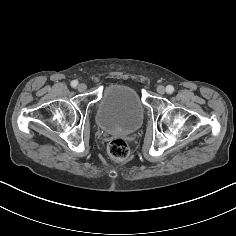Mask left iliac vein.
Masks as SVG:
<instances>
[{
    "instance_id": "1",
    "label": "left iliac vein",
    "mask_w": 236,
    "mask_h": 236,
    "mask_svg": "<svg viewBox=\"0 0 236 236\" xmlns=\"http://www.w3.org/2000/svg\"><path fill=\"white\" fill-rule=\"evenodd\" d=\"M157 92H158L160 95L165 94V87L162 86V85H159V86L157 87Z\"/></svg>"
}]
</instances>
